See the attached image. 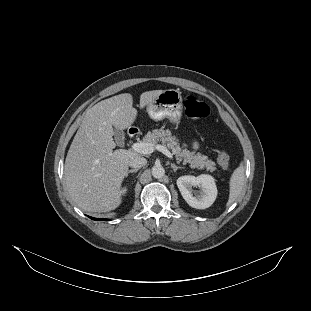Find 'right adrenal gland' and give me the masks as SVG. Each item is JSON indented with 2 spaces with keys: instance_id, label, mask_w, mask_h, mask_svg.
<instances>
[{
  "instance_id": "2a0ac1e0",
  "label": "right adrenal gland",
  "mask_w": 311,
  "mask_h": 311,
  "mask_svg": "<svg viewBox=\"0 0 311 311\" xmlns=\"http://www.w3.org/2000/svg\"><path fill=\"white\" fill-rule=\"evenodd\" d=\"M138 170H139V168L128 171V173H127V175H126V178H127L131 173H134V174L136 175V173H137ZM133 180H135V177H133Z\"/></svg>"
}]
</instances>
